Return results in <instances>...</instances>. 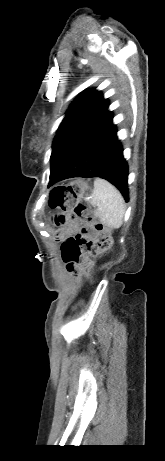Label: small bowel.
Masks as SVG:
<instances>
[{"mask_svg":"<svg viewBox=\"0 0 165 461\" xmlns=\"http://www.w3.org/2000/svg\"><path fill=\"white\" fill-rule=\"evenodd\" d=\"M93 234L92 225H78L71 222L68 229H58L52 234L53 241L60 242L61 263L70 276H79L81 266H86V248L91 242Z\"/></svg>","mask_w":165,"mask_h":461,"instance_id":"small-bowel-1","label":"small bowel"}]
</instances>
